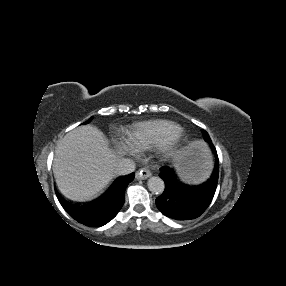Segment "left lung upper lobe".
Here are the masks:
<instances>
[{"label": "left lung upper lobe", "instance_id": "obj_1", "mask_svg": "<svg viewBox=\"0 0 286 286\" xmlns=\"http://www.w3.org/2000/svg\"><path fill=\"white\" fill-rule=\"evenodd\" d=\"M202 133L205 141L208 142L211 145V147H214L208 133L205 130H202Z\"/></svg>", "mask_w": 286, "mask_h": 286}]
</instances>
